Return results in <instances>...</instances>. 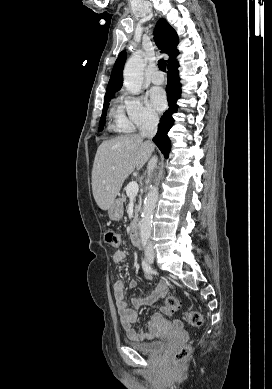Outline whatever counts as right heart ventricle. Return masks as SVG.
<instances>
[{"label": "right heart ventricle", "mask_w": 272, "mask_h": 389, "mask_svg": "<svg viewBox=\"0 0 272 389\" xmlns=\"http://www.w3.org/2000/svg\"><path fill=\"white\" fill-rule=\"evenodd\" d=\"M110 119V128L114 132L128 133L133 129L124 114L122 106H119L116 102L110 110Z\"/></svg>", "instance_id": "right-heart-ventricle-1"}]
</instances>
